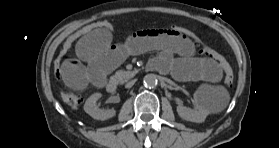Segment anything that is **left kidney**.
Returning <instances> with one entry per match:
<instances>
[{
	"instance_id": "1",
	"label": "left kidney",
	"mask_w": 279,
	"mask_h": 148,
	"mask_svg": "<svg viewBox=\"0 0 279 148\" xmlns=\"http://www.w3.org/2000/svg\"><path fill=\"white\" fill-rule=\"evenodd\" d=\"M194 105L195 108H187L181 104L177 106L178 115L187 121L202 123L206 117L210 114V109L204 103L200 92L194 93Z\"/></svg>"
}]
</instances>
